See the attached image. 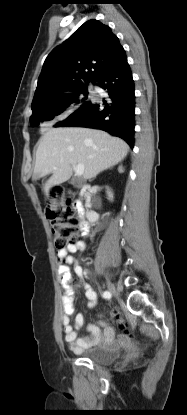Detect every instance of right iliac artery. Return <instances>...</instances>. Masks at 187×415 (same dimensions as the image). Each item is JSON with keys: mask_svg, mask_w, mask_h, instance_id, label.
<instances>
[{"mask_svg": "<svg viewBox=\"0 0 187 415\" xmlns=\"http://www.w3.org/2000/svg\"><path fill=\"white\" fill-rule=\"evenodd\" d=\"M102 296H103L104 298H110V297H111V294H110V292L105 291V292H103Z\"/></svg>", "mask_w": 187, "mask_h": 415, "instance_id": "1", "label": "right iliac artery"}]
</instances>
